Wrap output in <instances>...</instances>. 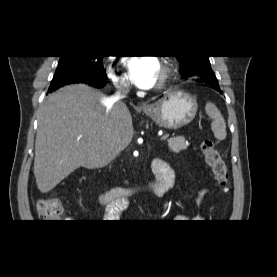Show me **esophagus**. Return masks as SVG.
<instances>
[{"label": "esophagus", "instance_id": "obj_1", "mask_svg": "<svg viewBox=\"0 0 277 277\" xmlns=\"http://www.w3.org/2000/svg\"><path fill=\"white\" fill-rule=\"evenodd\" d=\"M141 106H142V107H145V104H142Z\"/></svg>", "mask_w": 277, "mask_h": 277}]
</instances>
